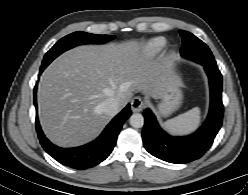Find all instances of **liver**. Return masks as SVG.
<instances>
[{"mask_svg": "<svg viewBox=\"0 0 248 195\" xmlns=\"http://www.w3.org/2000/svg\"><path fill=\"white\" fill-rule=\"evenodd\" d=\"M172 77L171 62L154 60L136 40L74 48L54 60L41 76V126L56 145L85 144L113 117L100 109L102 102L113 97L120 110L136 91L159 98Z\"/></svg>", "mask_w": 248, "mask_h": 195, "instance_id": "liver-1", "label": "liver"}]
</instances>
